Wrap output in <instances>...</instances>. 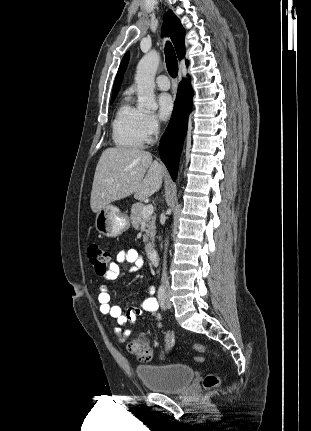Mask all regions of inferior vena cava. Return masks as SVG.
Returning <instances> with one entry per match:
<instances>
[{
	"instance_id": "1",
	"label": "inferior vena cava",
	"mask_w": 311,
	"mask_h": 431,
	"mask_svg": "<svg viewBox=\"0 0 311 431\" xmlns=\"http://www.w3.org/2000/svg\"><path fill=\"white\" fill-rule=\"evenodd\" d=\"M166 269H167V267H166V265H164L163 275H162L163 287H169V281H168Z\"/></svg>"
}]
</instances>
